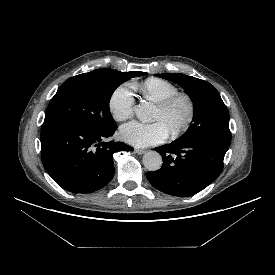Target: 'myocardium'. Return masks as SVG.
<instances>
[{
  "label": "myocardium",
  "mask_w": 275,
  "mask_h": 275,
  "mask_svg": "<svg viewBox=\"0 0 275 275\" xmlns=\"http://www.w3.org/2000/svg\"><path fill=\"white\" fill-rule=\"evenodd\" d=\"M179 101H184L187 104L188 113L184 122L178 128L170 132L172 137L180 136L192 124L195 117V110H196L194 100L188 93L177 92L158 104V108L161 111L167 112Z\"/></svg>",
  "instance_id": "obj_1"
}]
</instances>
